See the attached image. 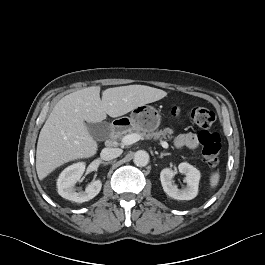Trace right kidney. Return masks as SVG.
Listing matches in <instances>:
<instances>
[{
    "label": "right kidney",
    "mask_w": 265,
    "mask_h": 265,
    "mask_svg": "<svg viewBox=\"0 0 265 265\" xmlns=\"http://www.w3.org/2000/svg\"><path fill=\"white\" fill-rule=\"evenodd\" d=\"M85 171L83 162L75 163L65 168L57 179L58 193L61 197L83 203L94 198L101 190L102 183L100 180L91 182L85 191L76 192L75 184L80 180Z\"/></svg>",
    "instance_id": "1"
}]
</instances>
